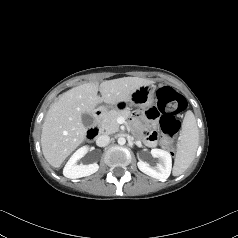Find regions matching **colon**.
<instances>
[{"mask_svg":"<svg viewBox=\"0 0 238 238\" xmlns=\"http://www.w3.org/2000/svg\"><path fill=\"white\" fill-rule=\"evenodd\" d=\"M157 107L161 111L159 118L163 133L161 146L172 152L174 148L172 138L180 128V122L176 116L186 109L187 102L175 89L163 86L157 91Z\"/></svg>","mask_w":238,"mask_h":238,"instance_id":"colon-1","label":"colon"}]
</instances>
